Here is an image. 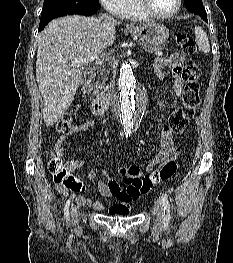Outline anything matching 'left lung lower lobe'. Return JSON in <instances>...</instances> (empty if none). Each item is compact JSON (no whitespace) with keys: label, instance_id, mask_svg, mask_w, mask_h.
Listing matches in <instances>:
<instances>
[{"label":"left lung lower lobe","instance_id":"obj_1","mask_svg":"<svg viewBox=\"0 0 233 263\" xmlns=\"http://www.w3.org/2000/svg\"><path fill=\"white\" fill-rule=\"evenodd\" d=\"M201 17H202L203 20H205L206 22H208V21H207V14H204V15H202Z\"/></svg>","mask_w":233,"mask_h":263}]
</instances>
